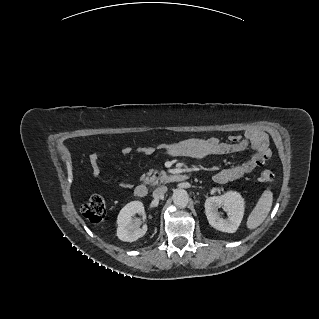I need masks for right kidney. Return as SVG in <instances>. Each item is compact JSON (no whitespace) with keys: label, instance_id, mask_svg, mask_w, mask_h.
I'll list each match as a JSON object with an SVG mask.
<instances>
[{"label":"right kidney","instance_id":"right-kidney-1","mask_svg":"<svg viewBox=\"0 0 319 319\" xmlns=\"http://www.w3.org/2000/svg\"><path fill=\"white\" fill-rule=\"evenodd\" d=\"M136 213L144 214V206L141 201H132L126 204L117 217V236L120 240L133 242L145 235L147 226L142 224L141 219H133Z\"/></svg>","mask_w":319,"mask_h":319}]
</instances>
